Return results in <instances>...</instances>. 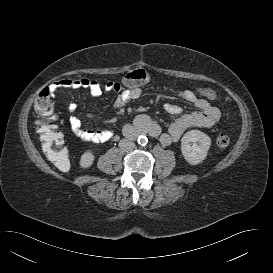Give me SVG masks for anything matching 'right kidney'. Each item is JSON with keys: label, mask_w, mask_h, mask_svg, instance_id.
<instances>
[{"label": "right kidney", "mask_w": 273, "mask_h": 273, "mask_svg": "<svg viewBox=\"0 0 273 273\" xmlns=\"http://www.w3.org/2000/svg\"><path fill=\"white\" fill-rule=\"evenodd\" d=\"M93 161L94 155L92 154L91 151L88 150L81 156L80 165L83 168H88L92 165Z\"/></svg>", "instance_id": "1"}]
</instances>
